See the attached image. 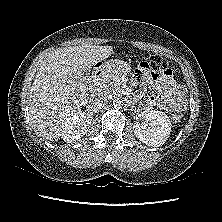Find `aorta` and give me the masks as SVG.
Masks as SVG:
<instances>
[{"mask_svg":"<svg viewBox=\"0 0 222 222\" xmlns=\"http://www.w3.org/2000/svg\"><path fill=\"white\" fill-rule=\"evenodd\" d=\"M123 100L121 98H115L113 100V106L114 108H121L123 106Z\"/></svg>","mask_w":222,"mask_h":222,"instance_id":"762f6f07","label":"aorta"}]
</instances>
